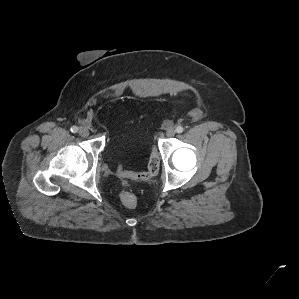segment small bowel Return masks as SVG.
<instances>
[{"mask_svg":"<svg viewBox=\"0 0 299 299\" xmlns=\"http://www.w3.org/2000/svg\"><path fill=\"white\" fill-rule=\"evenodd\" d=\"M145 116H146L145 114L141 115V116H140V119H144Z\"/></svg>","mask_w":299,"mask_h":299,"instance_id":"obj_1","label":"small bowel"}]
</instances>
